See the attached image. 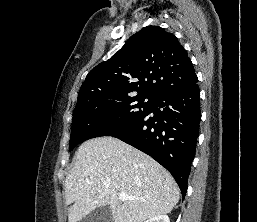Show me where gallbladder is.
Instances as JSON below:
<instances>
[{
	"instance_id": "bac80fb5",
	"label": "gallbladder",
	"mask_w": 257,
	"mask_h": 222,
	"mask_svg": "<svg viewBox=\"0 0 257 222\" xmlns=\"http://www.w3.org/2000/svg\"><path fill=\"white\" fill-rule=\"evenodd\" d=\"M113 216L109 206H101L85 216L81 222H112Z\"/></svg>"
}]
</instances>
